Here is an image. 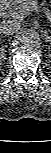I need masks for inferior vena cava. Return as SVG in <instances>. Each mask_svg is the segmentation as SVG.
Returning a JSON list of instances; mask_svg holds the SVG:
<instances>
[{
    "label": "inferior vena cava",
    "instance_id": "602c4592",
    "mask_svg": "<svg viewBox=\"0 0 51 153\" xmlns=\"http://www.w3.org/2000/svg\"><path fill=\"white\" fill-rule=\"evenodd\" d=\"M20 29V23L15 20L3 21L0 25V32L5 35H13Z\"/></svg>",
    "mask_w": 51,
    "mask_h": 153
}]
</instances>
